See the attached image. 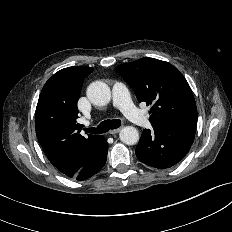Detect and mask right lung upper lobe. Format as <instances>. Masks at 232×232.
<instances>
[{"instance_id":"1","label":"right lung upper lobe","mask_w":232,"mask_h":232,"mask_svg":"<svg viewBox=\"0 0 232 232\" xmlns=\"http://www.w3.org/2000/svg\"><path fill=\"white\" fill-rule=\"evenodd\" d=\"M90 67H68L47 80L35 112V129L49 161L63 174L73 177L101 143V135L80 134L77 101Z\"/></svg>"}]
</instances>
